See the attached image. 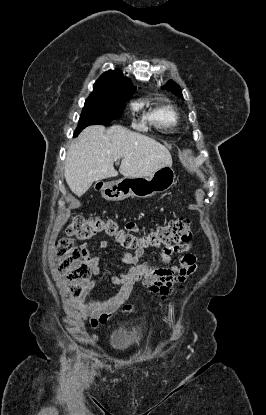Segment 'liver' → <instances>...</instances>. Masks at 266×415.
<instances>
[{
	"label": "liver",
	"mask_w": 266,
	"mask_h": 415,
	"mask_svg": "<svg viewBox=\"0 0 266 415\" xmlns=\"http://www.w3.org/2000/svg\"><path fill=\"white\" fill-rule=\"evenodd\" d=\"M122 158L119 172L124 177L150 176L171 166L172 157L156 140L121 125L105 129L102 125L85 128L67 151L65 180L78 197L93 182L118 175L114 162Z\"/></svg>",
	"instance_id": "1"
}]
</instances>
